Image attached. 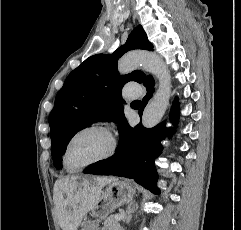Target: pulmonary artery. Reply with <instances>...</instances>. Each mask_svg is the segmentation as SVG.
<instances>
[{"label":"pulmonary artery","mask_w":241,"mask_h":230,"mask_svg":"<svg viewBox=\"0 0 241 230\" xmlns=\"http://www.w3.org/2000/svg\"><path fill=\"white\" fill-rule=\"evenodd\" d=\"M140 94V87L137 83L131 82L124 86L123 95L127 100H134Z\"/></svg>","instance_id":"pulmonary-artery-1"}]
</instances>
